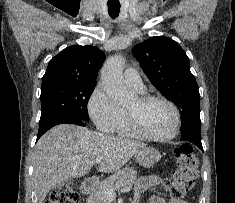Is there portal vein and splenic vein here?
I'll return each mask as SVG.
<instances>
[{
	"mask_svg": "<svg viewBox=\"0 0 235 203\" xmlns=\"http://www.w3.org/2000/svg\"><path fill=\"white\" fill-rule=\"evenodd\" d=\"M102 159H103L102 157H97L96 160H95V162H96L97 164H99V163H101ZM131 189H132L131 186L124 187L123 189H121V192H123V193L130 192ZM105 195H106V197H107L108 199H110V200H114V199L116 198V193H115V191L112 190V189H108V188H107V189L105 190Z\"/></svg>",
	"mask_w": 235,
	"mask_h": 203,
	"instance_id": "obj_1",
	"label": "portal vein and splenic vein"
}]
</instances>
